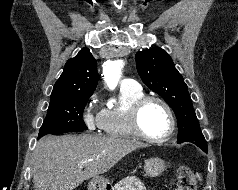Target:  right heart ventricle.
Listing matches in <instances>:
<instances>
[{
  "mask_svg": "<svg viewBox=\"0 0 238 190\" xmlns=\"http://www.w3.org/2000/svg\"><path fill=\"white\" fill-rule=\"evenodd\" d=\"M144 96L142 89L123 90L120 92V106L115 109H105L103 112L102 130L111 137L135 139L129 123V112L132 104Z\"/></svg>",
  "mask_w": 238,
  "mask_h": 190,
  "instance_id": "right-heart-ventricle-1",
  "label": "right heart ventricle"
}]
</instances>
